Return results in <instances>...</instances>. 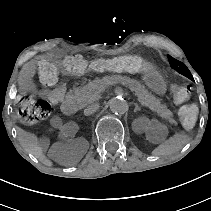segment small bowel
Wrapping results in <instances>:
<instances>
[{"instance_id":"c3829d8e","label":"small bowel","mask_w":211,"mask_h":211,"mask_svg":"<svg viewBox=\"0 0 211 211\" xmlns=\"http://www.w3.org/2000/svg\"><path fill=\"white\" fill-rule=\"evenodd\" d=\"M61 56L60 52H51L42 54L35 60L27 63L21 73L20 77V89L24 93H33L35 91V86L33 83V76L36 72V69L44 62L53 59L59 58ZM66 94V85L61 83L56 88L51 90H44L40 92V96L48 99L51 104H59L65 97Z\"/></svg>"}]
</instances>
